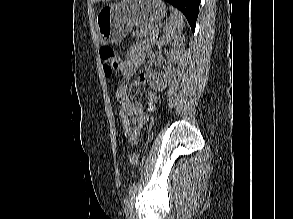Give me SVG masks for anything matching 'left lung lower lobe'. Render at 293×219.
I'll list each match as a JSON object with an SVG mask.
<instances>
[{
    "label": "left lung lower lobe",
    "mask_w": 293,
    "mask_h": 219,
    "mask_svg": "<svg viewBox=\"0 0 293 219\" xmlns=\"http://www.w3.org/2000/svg\"><path fill=\"white\" fill-rule=\"evenodd\" d=\"M179 9L187 18L192 31L195 29L200 0H165Z\"/></svg>",
    "instance_id": "1"
}]
</instances>
